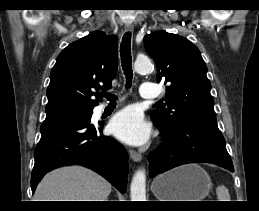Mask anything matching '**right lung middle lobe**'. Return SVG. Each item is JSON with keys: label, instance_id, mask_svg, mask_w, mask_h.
<instances>
[{"label": "right lung middle lobe", "instance_id": "1", "mask_svg": "<svg viewBox=\"0 0 259 211\" xmlns=\"http://www.w3.org/2000/svg\"><path fill=\"white\" fill-rule=\"evenodd\" d=\"M92 115V112L89 113H84V114H79V115H75L73 117H77V118H81V119H87L90 118Z\"/></svg>", "mask_w": 259, "mask_h": 211}]
</instances>
